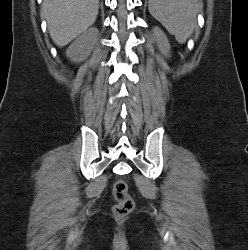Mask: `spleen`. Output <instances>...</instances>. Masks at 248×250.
<instances>
[{"mask_svg":"<svg viewBox=\"0 0 248 250\" xmlns=\"http://www.w3.org/2000/svg\"><path fill=\"white\" fill-rule=\"evenodd\" d=\"M150 14L183 44L193 34L198 0H149Z\"/></svg>","mask_w":248,"mask_h":250,"instance_id":"obj_1","label":"spleen"}]
</instances>
